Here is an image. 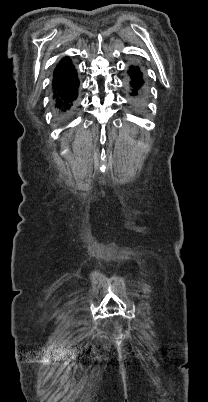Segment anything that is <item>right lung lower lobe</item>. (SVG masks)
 Here are the masks:
<instances>
[{"mask_svg":"<svg viewBox=\"0 0 208 402\" xmlns=\"http://www.w3.org/2000/svg\"><path fill=\"white\" fill-rule=\"evenodd\" d=\"M66 60L60 61L53 74L52 101L59 117L73 111L79 92L77 71L68 57Z\"/></svg>","mask_w":208,"mask_h":402,"instance_id":"right-lung-lower-lobe-1","label":"right lung lower lobe"}]
</instances>
